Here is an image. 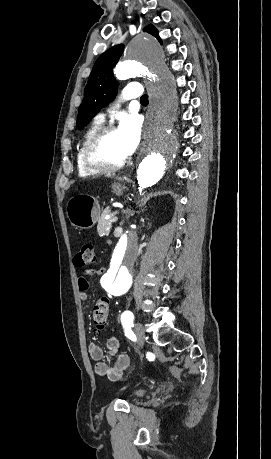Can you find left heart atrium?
Here are the masks:
<instances>
[{"label":"left heart atrium","instance_id":"left-heart-atrium-1","mask_svg":"<svg viewBox=\"0 0 271 459\" xmlns=\"http://www.w3.org/2000/svg\"><path fill=\"white\" fill-rule=\"evenodd\" d=\"M143 130V120L139 115H124L119 122L118 132L124 139L129 153L138 147Z\"/></svg>","mask_w":271,"mask_h":459}]
</instances>
